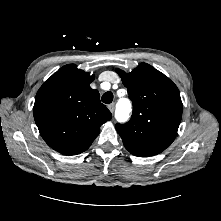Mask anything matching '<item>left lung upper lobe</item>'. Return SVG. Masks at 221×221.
Masks as SVG:
<instances>
[{"label": "left lung upper lobe", "instance_id": "obj_1", "mask_svg": "<svg viewBox=\"0 0 221 221\" xmlns=\"http://www.w3.org/2000/svg\"><path fill=\"white\" fill-rule=\"evenodd\" d=\"M116 72L133 103L130 121L115 126L125 148L139 157L161 153L174 141L181 122L182 102L178 88L146 63L128 74L120 69Z\"/></svg>", "mask_w": 221, "mask_h": 221}]
</instances>
